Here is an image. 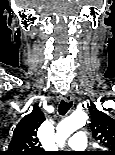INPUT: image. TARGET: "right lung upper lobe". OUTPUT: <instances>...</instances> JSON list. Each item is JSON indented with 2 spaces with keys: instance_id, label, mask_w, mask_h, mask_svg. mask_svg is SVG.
<instances>
[{
  "instance_id": "right-lung-upper-lobe-1",
  "label": "right lung upper lobe",
  "mask_w": 115,
  "mask_h": 155,
  "mask_svg": "<svg viewBox=\"0 0 115 155\" xmlns=\"http://www.w3.org/2000/svg\"><path fill=\"white\" fill-rule=\"evenodd\" d=\"M44 121L43 112L35 105L17 124L5 155H46L37 137L38 128Z\"/></svg>"
}]
</instances>
